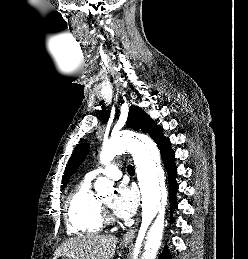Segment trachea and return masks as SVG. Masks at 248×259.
Returning <instances> with one entry per match:
<instances>
[{"label":"trachea","instance_id":"trachea-1","mask_svg":"<svg viewBox=\"0 0 248 259\" xmlns=\"http://www.w3.org/2000/svg\"><path fill=\"white\" fill-rule=\"evenodd\" d=\"M127 171H128L129 174H134L135 170H134L133 166L129 165L128 168H127Z\"/></svg>","mask_w":248,"mask_h":259}]
</instances>
